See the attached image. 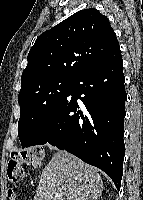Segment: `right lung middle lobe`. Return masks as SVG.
Segmentation results:
<instances>
[{"mask_svg": "<svg viewBox=\"0 0 143 200\" xmlns=\"http://www.w3.org/2000/svg\"><path fill=\"white\" fill-rule=\"evenodd\" d=\"M72 80L51 78L20 90L18 136L22 148L27 147L41 123L63 99Z\"/></svg>", "mask_w": 143, "mask_h": 200, "instance_id": "1", "label": "right lung middle lobe"}]
</instances>
